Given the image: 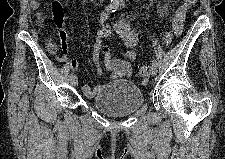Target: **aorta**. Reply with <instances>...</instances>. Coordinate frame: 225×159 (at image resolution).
Listing matches in <instances>:
<instances>
[{
    "label": "aorta",
    "mask_w": 225,
    "mask_h": 159,
    "mask_svg": "<svg viewBox=\"0 0 225 159\" xmlns=\"http://www.w3.org/2000/svg\"><path fill=\"white\" fill-rule=\"evenodd\" d=\"M121 2H122L121 0H111L110 5L112 7H118L121 4Z\"/></svg>",
    "instance_id": "762f6f07"
}]
</instances>
